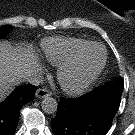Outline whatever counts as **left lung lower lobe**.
<instances>
[{
    "label": "left lung lower lobe",
    "instance_id": "1",
    "mask_svg": "<svg viewBox=\"0 0 135 135\" xmlns=\"http://www.w3.org/2000/svg\"><path fill=\"white\" fill-rule=\"evenodd\" d=\"M122 90L123 85L109 83L79 98H61L51 120L54 134L105 135L119 108Z\"/></svg>",
    "mask_w": 135,
    "mask_h": 135
}]
</instances>
